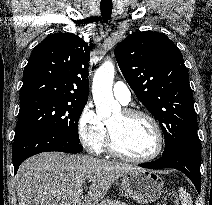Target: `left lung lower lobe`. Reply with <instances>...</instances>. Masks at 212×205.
<instances>
[{
	"instance_id": "0a47b994",
	"label": "left lung lower lobe",
	"mask_w": 212,
	"mask_h": 205,
	"mask_svg": "<svg viewBox=\"0 0 212 205\" xmlns=\"http://www.w3.org/2000/svg\"><path fill=\"white\" fill-rule=\"evenodd\" d=\"M200 163L201 149L197 131H195L188 135L171 153L139 166L149 169L174 168L180 170L189 177L198 193H200Z\"/></svg>"
}]
</instances>
